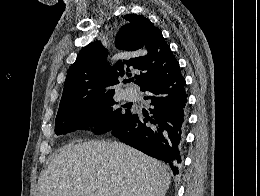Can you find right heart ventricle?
<instances>
[{
    "label": "right heart ventricle",
    "mask_w": 260,
    "mask_h": 196,
    "mask_svg": "<svg viewBox=\"0 0 260 196\" xmlns=\"http://www.w3.org/2000/svg\"><path fill=\"white\" fill-rule=\"evenodd\" d=\"M66 192H76V190H66Z\"/></svg>",
    "instance_id": "right-heart-ventricle-1"
}]
</instances>
